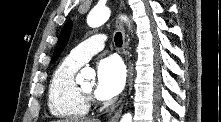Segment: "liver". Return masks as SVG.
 Listing matches in <instances>:
<instances>
[{
  "label": "liver",
  "instance_id": "obj_1",
  "mask_svg": "<svg viewBox=\"0 0 221 122\" xmlns=\"http://www.w3.org/2000/svg\"><path fill=\"white\" fill-rule=\"evenodd\" d=\"M57 122H100V121L97 119H91V118H81V119L58 120Z\"/></svg>",
  "mask_w": 221,
  "mask_h": 122
}]
</instances>
